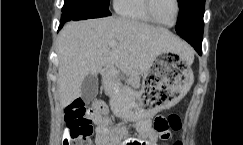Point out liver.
<instances>
[{"label": "liver", "instance_id": "obj_1", "mask_svg": "<svg viewBox=\"0 0 243 145\" xmlns=\"http://www.w3.org/2000/svg\"><path fill=\"white\" fill-rule=\"evenodd\" d=\"M112 42L117 45L112 47ZM188 51V45L168 30L119 16L70 22L58 37L60 104L64 108L81 96L88 74L117 67L137 78L158 55Z\"/></svg>", "mask_w": 243, "mask_h": 145}]
</instances>
